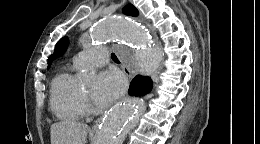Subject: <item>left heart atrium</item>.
Returning a JSON list of instances; mask_svg holds the SVG:
<instances>
[{"instance_id":"obj_1","label":"left heart atrium","mask_w":260,"mask_h":144,"mask_svg":"<svg viewBox=\"0 0 260 144\" xmlns=\"http://www.w3.org/2000/svg\"><path fill=\"white\" fill-rule=\"evenodd\" d=\"M126 89L124 76L116 69L100 73L93 97L98 105H107L118 99Z\"/></svg>"}]
</instances>
